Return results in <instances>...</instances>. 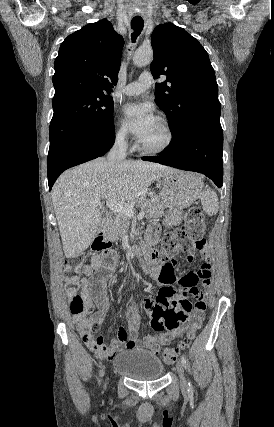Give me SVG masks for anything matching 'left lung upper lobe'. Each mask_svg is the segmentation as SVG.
<instances>
[{
  "label": "left lung upper lobe",
  "instance_id": "1",
  "mask_svg": "<svg viewBox=\"0 0 274 427\" xmlns=\"http://www.w3.org/2000/svg\"><path fill=\"white\" fill-rule=\"evenodd\" d=\"M154 78L167 79L155 86V102L169 120L174 141L201 123L220 124L218 85L208 54L183 28L158 25L152 35Z\"/></svg>",
  "mask_w": 274,
  "mask_h": 427
}]
</instances>
